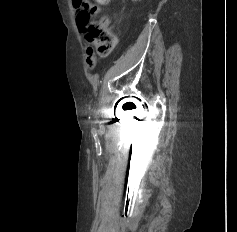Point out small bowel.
<instances>
[{"instance_id":"small-bowel-1","label":"small bowel","mask_w":237,"mask_h":232,"mask_svg":"<svg viewBox=\"0 0 237 232\" xmlns=\"http://www.w3.org/2000/svg\"><path fill=\"white\" fill-rule=\"evenodd\" d=\"M99 9L96 8V12H98ZM103 24L105 26L109 25V20L107 18L103 19ZM97 59L95 57L94 51L91 47H87L86 48V63L89 69L94 68V66L96 65Z\"/></svg>"}]
</instances>
